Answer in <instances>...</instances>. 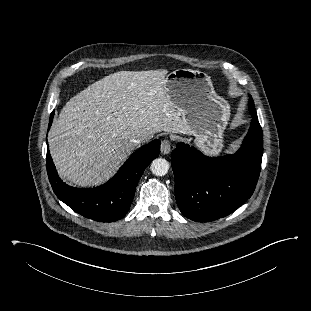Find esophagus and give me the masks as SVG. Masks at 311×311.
<instances>
[{
    "label": "esophagus",
    "instance_id": "obj_1",
    "mask_svg": "<svg viewBox=\"0 0 311 311\" xmlns=\"http://www.w3.org/2000/svg\"><path fill=\"white\" fill-rule=\"evenodd\" d=\"M170 151H171L170 141L168 139H164L161 142V153L162 154H169Z\"/></svg>",
    "mask_w": 311,
    "mask_h": 311
}]
</instances>
